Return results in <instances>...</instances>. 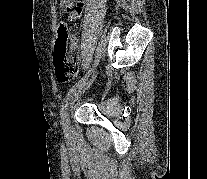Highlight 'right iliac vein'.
Wrapping results in <instances>:
<instances>
[{
	"label": "right iliac vein",
	"instance_id": "63e3f726",
	"mask_svg": "<svg viewBox=\"0 0 207 179\" xmlns=\"http://www.w3.org/2000/svg\"><path fill=\"white\" fill-rule=\"evenodd\" d=\"M84 89L80 88L79 91L74 95V97L72 98V101L70 103V106L68 109H66V115H65V119H64V128L66 130L69 129V125H70V117H69V109L72 108L74 102L76 101V99H78L79 96H81V94L83 93Z\"/></svg>",
	"mask_w": 207,
	"mask_h": 179
}]
</instances>
